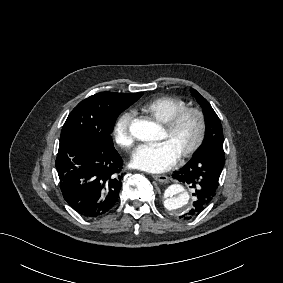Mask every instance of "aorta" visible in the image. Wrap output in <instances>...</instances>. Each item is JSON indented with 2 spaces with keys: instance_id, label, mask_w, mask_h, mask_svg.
Listing matches in <instances>:
<instances>
[{
  "instance_id": "obj_1",
  "label": "aorta",
  "mask_w": 283,
  "mask_h": 283,
  "mask_svg": "<svg viewBox=\"0 0 283 283\" xmlns=\"http://www.w3.org/2000/svg\"><path fill=\"white\" fill-rule=\"evenodd\" d=\"M161 127L147 120H135L130 126L131 134L141 141L158 140L161 135ZM163 205L173 214L181 215L191 209V195L184 185L174 183L166 188L163 193Z\"/></svg>"
}]
</instances>
